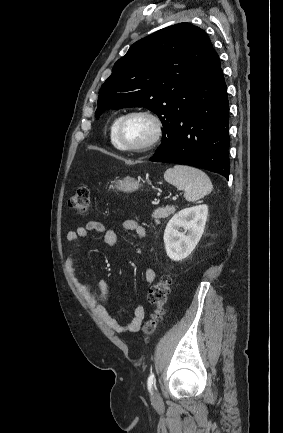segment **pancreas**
<instances>
[{
  "instance_id": "pancreas-1",
  "label": "pancreas",
  "mask_w": 283,
  "mask_h": 433,
  "mask_svg": "<svg viewBox=\"0 0 283 433\" xmlns=\"http://www.w3.org/2000/svg\"><path fill=\"white\" fill-rule=\"evenodd\" d=\"M175 210H176L175 206H165V208H156V210H154L152 214V217L154 221H159V219H166V217H169V214H173Z\"/></svg>"
}]
</instances>
